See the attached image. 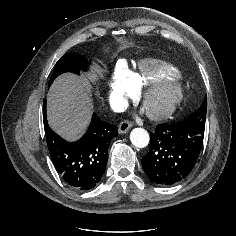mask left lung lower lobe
Segmentation results:
<instances>
[{
	"instance_id": "obj_1",
	"label": "left lung lower lobe",
	"mask_w": 236,
	"mask_h": 236,
	"mask_svg": "<svg viewBox=\"0 0 236 236\" xmlns=\"http://www.w3.org/2000/svg\"><path fill=\"white\" fill-rule=\"evenodd\" d=\"M205 126L186 120L160 124L150 134L149 152L142 166L149 179L160 185H172L193 169L204 138Z\"/></svg>"
}]
</instances>
